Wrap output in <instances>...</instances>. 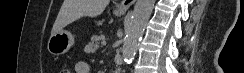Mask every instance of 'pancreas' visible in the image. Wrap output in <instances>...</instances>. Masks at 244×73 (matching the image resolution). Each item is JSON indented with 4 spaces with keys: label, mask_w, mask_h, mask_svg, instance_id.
Instances as JSON below:
<instances>
[{
    "label": "pancreas",
    "mask_w": 244,
    "mask_h": 73,
    "mask_svg": "<svg viewBox=\"0 0 244 73\" xmlns=\"http://www.w3.org/2000/svg\"><path fill=\"white\" fill-rule=\"evenodd\" d=\"M101 40V36L93 35L89 44L85 46L84 51L89 54L94 53L99 48Z\"/></svg>",
    "instance_id": "obj_1"
}]
</instances>
